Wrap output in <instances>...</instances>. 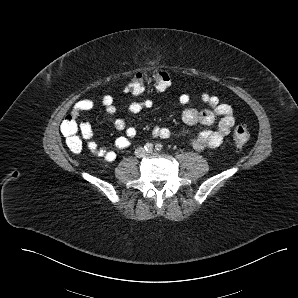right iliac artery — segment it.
Here are the masks:
<instances>
[{
  "label": "right iliac artery",
  "instance_id": "right-iliac-artery-1",
  "mask_svg": "<svg viewBox=\"0 0 298 298\" xmlns=\"http://www.w3.org/2000/svg\"><path fill=\"white\" fill-rule=\"evenodd\" d=\"M144 149L146 151H152L153 149V144L152 143H146L145 146H144Z\"/></svg>",
  "mask_w": 298,
  "mask_h": 298
}]
</instances>
